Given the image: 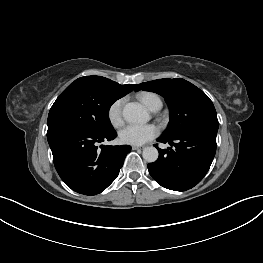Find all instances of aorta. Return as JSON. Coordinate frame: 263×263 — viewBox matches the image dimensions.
Wrapping results in <instances>:
<instances>
[{
    "label": "aorta",
    "instance_id": "aorta-1",
    "mask_svg": "<svg viewBox=\"0 0 263 263\" xmlns=\"http://www.w3.org/2000/svg\"><path fill=\"white\" fill-rule=\"evenodd\" d=\"M123 118L129 123H145L150 117L145 108L136 102L127 103L122 111ZM158 150L153 147H145L142 156L149 163L155 162L158 159Z\"/></svg>",
    "mask_w": 263,
    "mask_h": 263
}]
</instances>
